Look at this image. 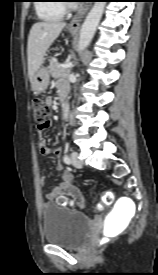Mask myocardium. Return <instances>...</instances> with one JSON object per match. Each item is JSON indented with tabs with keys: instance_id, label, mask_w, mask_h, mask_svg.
Masks as SVG:
<instances>
[{
	"instance_id": "1",
	"label": "myocardium",
	"mask_w": 158,
	"mask_h": 275,
	"mask_svg": "<svg viewBox=\"0 0 158 275\" xmlns=\"http://www.w3.org/2000/svg\"><path fill=\"white\" fill-rule=\"evenodd\" d=\"M72 7V5H70V4H65V8H71Z\"/></svg>"
}]
</instances>
